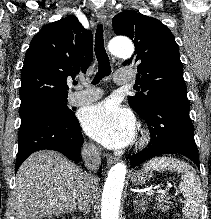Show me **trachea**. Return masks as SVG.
<instances>
[{
    "label": "trachea",
    "instance_id": "3493384b",
    "mask_svg": "<svg viewBox=\"0 0 211 219\" xmlns=\"http://www.w3.org/2000/svg\"><path fill=\"white\" fill-rule=\"evenodd\" d=\"M95 55L98 61V72L95 75L92 84H97L104 77H108L111 74V66L109 57L104 47L103 26L97 25L95 34ZM77 84V82H75Z\"/></svg>",
    "mask_w": 211,
    "mask_h": 219
}]
</instances>
